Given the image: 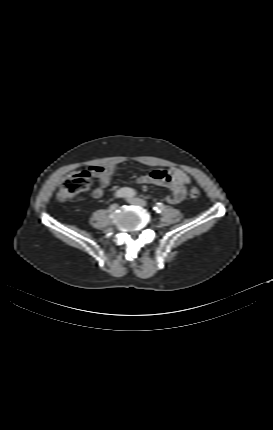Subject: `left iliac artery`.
<instances>
[{
	"mask_svg": "<svg viewBox=\"0 0 273 430\" xmlns=\"http://www.w3.org/2000/svg\"><path fill=\"white\" fill-rule=\"evenodd\" d=\"M164 209H165V205L164 204H162V203H156V205L154 206V210L157 212V213H162L163 211H164Z\"/></svg>",
	"mask_w": 273,
	"mask_h": 430,
	"instance_id": "left-iliac-artery-1",
	"label": "left iliac artery"
}]
</instances>
